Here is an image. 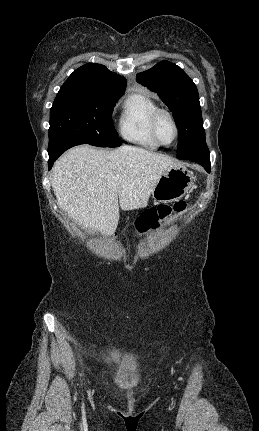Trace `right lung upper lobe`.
Returning a JSON list of instances; mask_svg holds the SVG:
<instances>
[{
	"instance_id": "cb5924a9",
	"label": "right lung upper lobe",
	"mask_w": 259,
	"mask_h": 431,
	"mask_svg": "<svg viewBox=\"0 0 259 431\" xmlns=\"http://www.w3.org/2000/svg\"><path fill=\"white\" fill-rule=\"evenodd\" d=\"M126 79L109 71L104 65L88 63L76 69L58 93L78 95H102L110 92H124Z\"/></svg>"
}]
</instances>
